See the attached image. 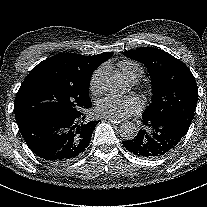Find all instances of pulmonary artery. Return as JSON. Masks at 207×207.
Here are the masks:
<instances>
[{"label": "pulmonary artery", "mask_w": 207, "mask_h": 207, "mask_svg": "<svg viewBox=\"0 0 207 207\" xmlns=\"http://www.w3.org/2000/svg\"><path fill=\"white\" fill-rule=\"evenodd\" d=\"M137 79H138L137 76H133L132 78H130V81L135 82V81H137Z\"/></svg>", "instance_id": "pulmonary-artery-1"}]
</instances>
